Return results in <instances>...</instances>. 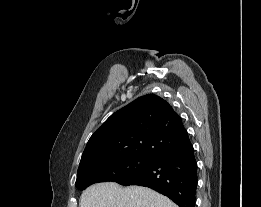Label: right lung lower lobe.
Segmentation results:
<instances>
[{
	"label": "right lung lower lobe",
	"mask_w": 261,
	"mask_h": 207,
	"mask_svg": "<svg viewBox=\"0 0 261 207\" xmlns=\"http://www.w3.org/2000/svg\"><path fill=\"white\" fill-rule=\"evenodd\" d=\"M118 183L149 187L179 207H195L197 162L192 144L158 156L149 167Z\"/></svg>",
	"instance_id": "1"
}]
</instances>
